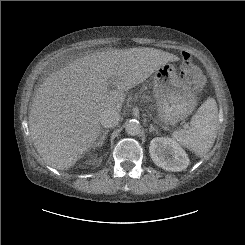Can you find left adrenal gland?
Masks as SVG:
<instances>
[{"label": "left adrenal gland", "mask_w": 245, "mask_h": 245, "mask_svg": "<svg viewBox=\"0 0 245 245\" xmlns=\"http://www.w3.org/2000/svg\"><path fill=\"white\" fill-rule=\"evenodd\" d=\"M154 131H155L156 133H158L156 127H154L153 124H150L149 132L151 133V132H154Z\"/></svg>", "instance_id": "a2214340"}]
</instances>
